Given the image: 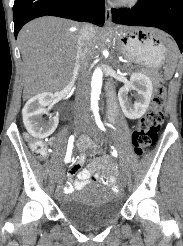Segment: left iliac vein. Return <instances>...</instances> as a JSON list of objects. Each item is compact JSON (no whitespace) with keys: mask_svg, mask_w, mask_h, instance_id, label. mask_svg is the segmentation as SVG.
I'll use <instances>...</instances> for the list:
<instances>
[{"mask_svg":"<svg viewBox=\"0 0 183 246\" xmlns=\"http://www.w3.org/2000/svg\"><path fill=\"white\" fill-rule=\"evenodd\" d=\"M97 141H101L102 137L97 128L95 127L93 121L89 120L85 128ZM123 181L125 179L123 178Z\"/></svg>","mask_w":183,"mask_h":246,"instance_id":"1","label":"left iliac vein"}]
</instances>
